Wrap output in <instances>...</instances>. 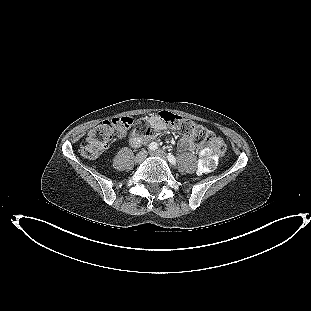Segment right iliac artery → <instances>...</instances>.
<instances>
[{"mask_svg": "<svg viewBox=\"0 0 311 311\" xmlns=\"http://www.w3.org/2000/svg\"><path fill=\"white\" fill-rule=\"evenodd\" d=\"M157 148H158V144L155 142L150 143L148 146L149 150H156Z\"/></svg>", "mask_w": 311, "mask_h": 311, "instance_id": "right-iliac-artery-1", "label": "right iliac artery"}]
</instances>
